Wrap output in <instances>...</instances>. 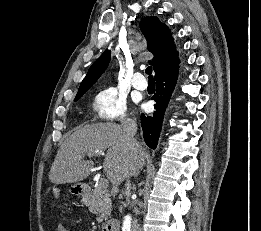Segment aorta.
<instances>
[{
    "mask_svg": "<svg viewBox=\"0 0 261 231\" xmlns=\"http://www.w3.org/2000/svg\"><path fill=\"white\" fill-rule=\"evenodd\" d=\"M130 216H126L123 221L122 231H130Z\"/></svg>",
    "mask_w": 261,
    "mask_h": 231,
    "instance_id": "1",
    "label": "aorta"
}]
</instances>
